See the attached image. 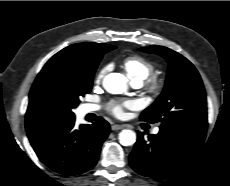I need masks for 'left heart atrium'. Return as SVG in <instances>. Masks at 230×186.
I'll return each instance as SVG.
<instances>
[{"label":"left heart atrium","mask_w":230,"mask_h":186,"mask_svg":"<svg viewBox=\"0 0 230 186\" xmlns=\"http://www.w3.org/2000/svg\"><path fill=\"white\" fill-rule=\"evenodd\" d=\"M136 107V104L132 101H126L123 103H115L111 106V112L116 117H123L125 114V109H133Z\"/></svg>","instance_id":"obj_1"}]
</instances>
